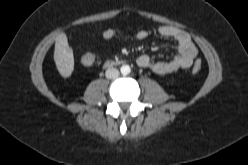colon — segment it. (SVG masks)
<instances>
[{"mask_svg":"<svg viewBox=\"0 0 248 165\" xmlns=\"http://www.w3.org/2000/svg\"><path fill=\"white\" fill-rule=\"evenodd\" d=\"M81 61L84 65H91L94 61H95V55L91 52H87L85 53L82 58ZM202 68V63L200 60H197L194 65H193V72H199Z\"/></svg>","mask_w":248,"mask_h":165,"instance_id":"obj_1","label":"colon"}]
</instances>
